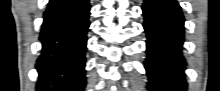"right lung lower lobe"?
Instances as JSON below:
<instances>
[{
    "label": "right lung lower lobe",
    "instance_id": "right-lung-lower-lobe-1",
    "mask_svg": "<svg viewBox=\"0 0 220 91\" xmlns=\"http://www.w3.org/2000/svg\"><path fill=\"white\" fill-rule=\"evenodd\" d=\"M88 0H50L40 33L37 59L39 91H83Z\"/></svg>",
    "mask_w": 220,
    "mask_h": 91
}]
</instances>
